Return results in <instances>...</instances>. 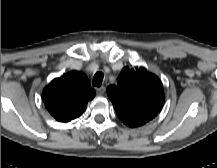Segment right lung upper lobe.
Instances as JSON below:
<instances>
[{
	"mask_svg": "<svg viewBox=\"0 0 217 168\" xmlns=\"http://www.w3.org/2000/svg\"><path fill=\"white\" fill-rule=\"evenodd\" d=\"M94 98V91L83 73L71 71L55 78L43 91V101L50 114L60 122L78 118L88 101Z\"/></svg>",
	"mask_w": 217,
	"mask_h": 168,
	"instance_id": "obj_1",
	"label": "right lung upper lobe"
}]
</instances>
